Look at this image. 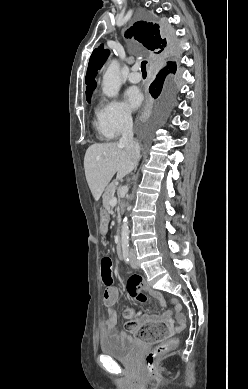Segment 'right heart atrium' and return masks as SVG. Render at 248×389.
Wrapping results in <instances>:
<instances>
[{"label":"right heart atrium","instance_id":"d8ad5b80","mask_svg":"<svg viewBox=\"0 0 248 389\" xmlns=\"http://www.w3.org/2000/svg\"><path fill=\"white\" fill-rule=\"evenodd\" d=\"M101 113L109 133L116 137L131 127L132 117L120 101L113 99L101 105Z\"/></svg>","mask_w":248,"mask_h":389}]
</instances>
